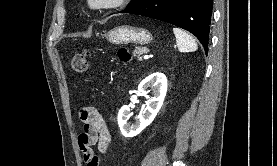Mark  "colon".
I'll list each match as a JSON object with an SVG mask.
<instances>
[{
    "mask_svg": "<svg viewBox=\"0 0 277 166\" xmlns=\"http://www.w3.org/2000/svg\"><path fill=\"white\" fill-rule=\"evenodd\" d=\"M119 59L123 62L130 60V53L126 48H121L118 52ZM89 68V53L82 51L77 53L71 60V69L77 73H84Z\"/></svg>",
    "mask_w": 277,
    "mask_h": 166,
    "instance_id": "1",
    "label": "colon"
}]
</instances>
